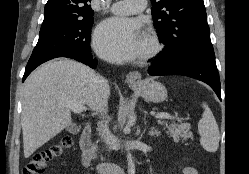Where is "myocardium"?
<instances>
[{"label": "myocardium", "instance_id": "f54148a6", "mask_svg": "<svg viewBox=\"0 0 249 174\" xmlns=\"http://www.w3.org/2000/svg\"><path fill=\"white\" fill-rule=\"evenodd\" d=\"M146 47L139 52V61L145 62L157 56L163 49L158 35L151 29L146 31Z\"/></svg>", "mask_w": 249, "mask_h": 174}]
</instances>
